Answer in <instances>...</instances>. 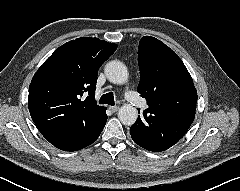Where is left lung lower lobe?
<instances>
[{
  "label": "left lung lower lobe",
  "instance_id": "1",
  "mask_svg": "<svg viewBox=\"0 0 240 191\" xmlns=\"http://www.w3.org/2000/svg\"><path fill=\"white\" fill-rule=\"evenodd\" d=\"M160 123V122H159ZM130 133L133 141L139 146L154 152L164 151L179 141L183 136L180 131L150 122L149 115L145 112L143 117L131 126Z\"/></svg>",
  "mask_w": 240,
  "mask_h": 191
}]
</instances>
